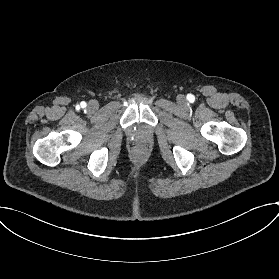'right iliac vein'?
I'll return each instance as SVG.
<instances>
[{"mask_svg":"<svg viewBox=\"0 0 279 279\" xmlns=\"http://www.w3.org/2000/svg\"><path fill=\"white\" fill-rule=\"evenodd\" d=\"M87 109L90 111V112H95L97 109H98V102L93 100V101H90L87 105Z\"/></svg>","mask_w":279,"mask_h":279,"instance_id":"right-iliac-vein-1","label":"right iliac vein"}]
</instances>
